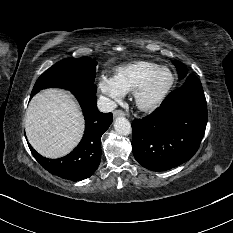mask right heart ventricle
Returning a JSON list of instances; mask_svg holds the SVG:
<instances>
[{"instance_id":"right-heart-ventricle-1","label":"right heart ventricle","mask_w":233,"mask_h":233,"mask_svg":"<svg viewBox=\"0 0 233 233\" xmlns=\"http://www.w3.org/2000/svg\"><path fill=\"white\" fill-rule=\"evenodd\" d=\"M159 68V65L148 61H137L117 68L114 79L125 92H134L144 79Z\"/></svg>"}]
</instances>
